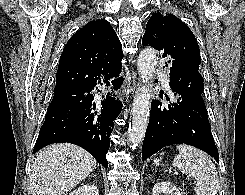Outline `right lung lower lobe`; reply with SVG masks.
<instances>
[{
    "mask_svg": "<svg viewBox=\"0 0 245 195\" xmlns=\"http://www.w3.org/2000/svg\"><path fill=\"white\" fill-rule=\"evenodd\" d=\"M122 82L119 75L110 78L104 72H98L89 83L56 90L33 153L52 143H73L108 168L106 153L122 103L111 92L103 94L100 99L95 98V92L111 85L117 90Z\"/></svg>",
    "mask_w": 245,
    "mask_h": 195,
    "instance_id": "98d812e1",
    "label": "right lung lower lobe"
}]
</instances>
